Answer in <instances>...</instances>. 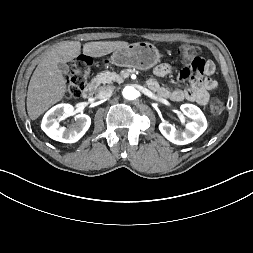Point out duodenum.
<instances>
[{"label": "duodenum", "instance_id": "1", "mask_svg": "<svg viewBox=\"0 0 253 253\" xmlns=\"http://www.w3.org/2000/svg\"><path fill=\"white\" fill-rule=\"evenodd\" d=\"M96 87H97V82L96 81H92L91 83H89L83 91V97L85 99L91 98L94 95L95 91H96Z\"/></svg>", "mask_w": 253, "mask_h": 253}]
</instances>
